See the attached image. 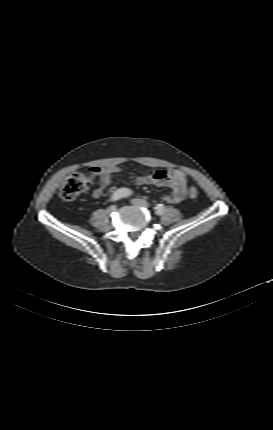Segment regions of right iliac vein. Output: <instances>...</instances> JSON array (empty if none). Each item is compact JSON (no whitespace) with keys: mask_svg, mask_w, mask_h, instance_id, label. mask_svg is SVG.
<instances>
[{"mask_svg":"<svg viewBox=\"0 0 273 430\" xmlns=\"http://www.w3.org/2000/svg\"><path fill=\"white\" fill-rule=\"evenodd\" d=\"M115 210H116V206L112 205V206H110V207L107 209V212H108L109 214H111V213H113Z\"/></svg>","mask_w":273,"mask_h":430,"instance_id":"obj_1","label":"right iliac vein"}]
</instances>
